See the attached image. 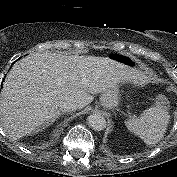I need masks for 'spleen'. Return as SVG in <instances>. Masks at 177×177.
<instances>
[{"label":"spleen","mask_w":177,"mask_h":177,"mask_svg":"<svg viewBox=\"0 0 177 177\" xmlns=\"http://www.w3.org/2000/svg\"><path fill=\"white\" fill-rule=\"evenodd\" d=\"M169 102L164 95H158L155 105L143 111L139 118L125 122L127 129L141 138L145 144L154 145L165 135L170 122Z\"/></svg>","instance_id":"1"}]
</instances>
